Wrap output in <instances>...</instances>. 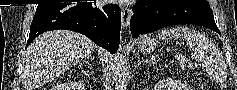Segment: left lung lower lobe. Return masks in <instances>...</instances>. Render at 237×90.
I'll list each match as a JSON object with an SVG mask.
<instances>
[{
    "mask_svg": "<svg viewBox=\"0 0 237 90\" xmlns=\"http://www.w3.org/2000/svg\"><path fill=\"white\" fill-rule=\"evenodd\" d=\"M176 24L200 25L220 34L210 6L192 5L184 0H139L133 7V37Z\"/></svg>",
    "mask_w": 237,
    "mask_h": 90,
    "instance_id": "1",
    "label": "left lung lower lobe"
}]
</instances>
